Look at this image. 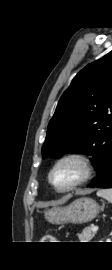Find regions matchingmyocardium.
<instances>
[{"label": "myocardium", "mask_w": 112, "mask_h": 270, "mask_svg": "<svg viewBox=\"0 0 112 270\" xmlns=\"http://www.w3.org/2000/svg\"><path fill=\"white\" fill-rule=\"evenodd\" d=\"M66 162L77 163L82 169V175L77 181L70 184L69 186L59 188L54 184L52 177L54 172L58 169V167H60L62 164ZM94 174H95V167L90 156L81 152H68L56 159V161L53 163L48 172L47 178L49 184L56 192L64 194L74 191L75 189L85 185L93 178Z\"/></svg>", "instance_id": "obj_1"}]
</instances>
